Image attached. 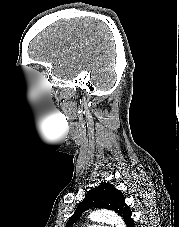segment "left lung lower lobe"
Here are the masks:
<instances>
[{
    "instance_id": "obj_1",
    "label": "left lung lower lobe",
    "mask_w": 179,
    "mask_h": 227,
    "mask_svg": "<svg viewBox=\"0 0 179 227\" xmlns=\"http://www.w3.org/2000/svg\"><path fill=\"white\" fill-rule=\"evenodd\" d=\"M128 227H134V224H130V225H128Z\"/></svg>"
}]
</instances>
